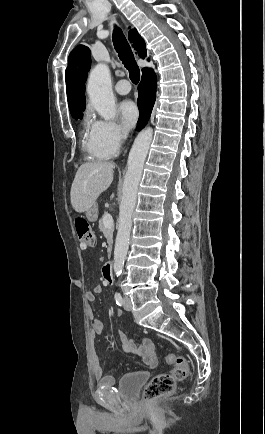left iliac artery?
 Instances as JSON below:
<instances>
[{
	"mask_svg": "<svg viewBox=\"0 0 265 434\" xmlns=\"http://www.w3.org/2000/svg\"><path fill=\"white\" fill-rule=\"evenodd\" d=\"M115 301H116V304H117L118 306H121L122 303H123L122 296H121V294H120L119 292H116V293H115Z\"/></svg>",
	"mask_w": 265,
	"mask_h": 434,
	"instance_id": "1",
	"label": "left iliac artery"
}]
</instances>
